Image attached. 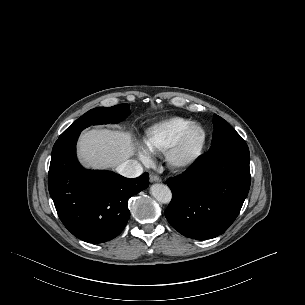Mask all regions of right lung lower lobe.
<instances>
[{
	"label": "right lung lower lobe",
	"instance_id": "98d812e1",
	"mask_svg": "<svg viewBox=\"0 0 305 305\" xmlns=\"http://www.w3.org/2000/svg\"><path fill=\"white\" fill-rule=\"evenodd\" d=\"M80 132L55 142L48 187L58 216L77 238L102 243L118 236L130 211L128 199L149 186L147 173L129 179L111 171L84 169L76 158Z\"/></svg>",
	"mask_w": 305,
	"mask_h": 305
}]
</instances>
